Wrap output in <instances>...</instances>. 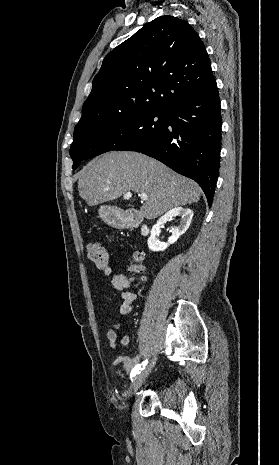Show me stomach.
Wrapping results in <instances>:
<instances>
[{"mask_svg":"<svg viewBox=\"0 0 279 465\" xmlns=\"http://www.w3.org/2000/svg\"><path fill=\"white\" fill-rule=\"evenodd\" d=\"M100 217L115 228H124L128 225L125 214L117 207L102 206L99 209Z\"/></svg>","mask_w":279,"mask_h":465,"instance_id":"1","label":"stomach"}]
</instances>
